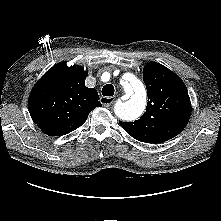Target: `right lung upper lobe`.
Instances as JSON below:
<instances>
[{"instance_id": "obj_1", "label": "right lung upper lobe", "mask_w": 221, "mask_h": 221, "mask_svg": "<svg viewBox=\"0 0 221 221\" xmlns=\"http://www.w3.org/2000/svg\"><path fill=\"white\" fill-rule=\"evenodd\" d=\"M86 77L82 67H68L61 62L35 84L28 108L34 123L45 134H68L80 127L92 110L102 106L97 90L85 86Z\"/></svg>"}]
</instances>
